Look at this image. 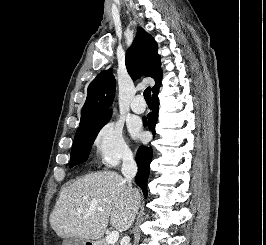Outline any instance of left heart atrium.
Returning a JSON list of instances; mask_svg holds the SVG:
<instances>
[{
  "instance_id": "obj_1",
  "label": "left heart atrium",
  "mask_w": 266,
  "mask_h": 245,
  "mask_svg": "<svg viewBox=\"0 0 266 245\" xmlns=\"http://www.w3.org/2000/svg\"><path fill=\"white\" fill-rule=\"evenodd\" d=\"M129 131L133 137H139L141 135V127L138 123L130 124Z\"/></svg>"
}]
</instances>
